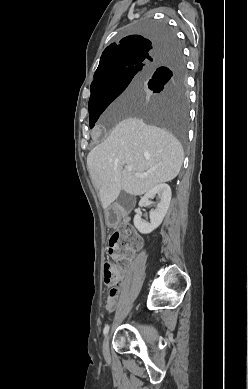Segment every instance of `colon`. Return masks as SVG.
I'll return each mask as SVG.
<instances>
[{"label":"colon","mask_w":248,"mask_h":389,"mask_svg":"<svg viewBox=\"0 0 248 389\" xmlns=\"http://www.w3.org/2000/svg\"><path fill=\"white\" fill-rule=\"evenodd\" d=\"M139 238L133 234L128 226L121 227L115 232L108 244V254L114 259H121L122 261H131L134 251L139 247ZM122 274L118 266L112 262H107L104 265V278L106 286H111L109 296L114 297L117 294L116 286L121 279Z\"/></svg>","instance_id":"5ec220e1"}]
</instances>
